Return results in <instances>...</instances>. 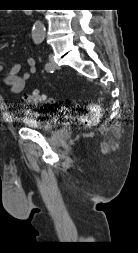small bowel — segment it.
<instances>
[{
	"label": "small bowel",
	"instance_id": "c3829d8e",
	"mask_svg": "<svg viewBox=\"0 0 138 253\" xmlns=\"http://www.w3.org/2000/svg\"><path fill=\"white\" fill-rule=\"evenodd\" d=\"M26 63L27 70L22 75H19V72L22 70V64L17 63L2 78V84L7 87L11 95L22 93L31 75L36 72V61L33 57H29ZM2 71L3 66L0 64V72Z\"/></svg>",
	"mask_w": 138,
	"mask_h": 253
}]
</instances>
